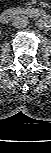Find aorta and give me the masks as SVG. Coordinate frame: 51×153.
<instances>
[{
    "label": "aorta",
    "mask_w": 51,
    "mask_h": 153,
    "mask_svg": "<svg viewBox=\"0 0 51 153\" xmlns=\"http://www.w3.org/2000/svg\"><path fill=\"white\" fill-rule=\"evenodd\" d=\"M37 27L40 30H49L51 27V18L49 15L41 16L37 21Z\"/></svg>",
    "instance_id": "762f6f07"
}]
</instances>
